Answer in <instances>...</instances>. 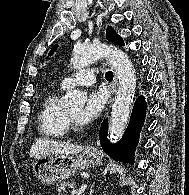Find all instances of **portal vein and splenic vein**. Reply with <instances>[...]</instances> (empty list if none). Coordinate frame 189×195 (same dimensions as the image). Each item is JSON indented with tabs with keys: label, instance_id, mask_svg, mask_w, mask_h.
<instances>
[{
	"label": "portal vein and splenic vein",
	"instance_id": "18ae733b",
	"mask_svg": "<svg viewBox=\"0 0 189 195\" xmlns=\"http://www.w3.org/2000/svg\"><path fill=\"white\" fill-rule=\"evenodd\" d=\"M86 189V185H82L80 188H79V190H78V192L77 191H73V193L75 194H77V195H80V194H82L83 192H84V190Z\"/></svg>",
	"mask_w": 189,
	"mask_h": 195
}]
</instances>
